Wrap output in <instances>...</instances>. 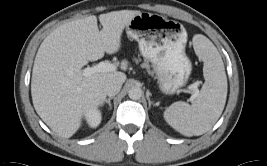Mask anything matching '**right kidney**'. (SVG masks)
I'll return each mask as SVG.
<instances>
[{
	"label": "right kidney",
	"instance_id": "1",
	"mask_svg": "<svg viewBox=\"0 0 267 166\" xmlns=\"http://www.w3.org/2000/svg\"><path fill=\"white\" fill-rule=\"evenodd\" d=\"M91 127H97L101 122V112L98 109H90L85 115Z\"/></svg>",
	"mask_w": 267,
	"mask_h": 166
}]
</instances>
